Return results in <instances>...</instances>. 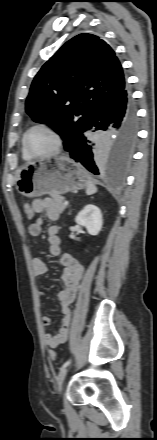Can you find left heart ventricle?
I'll use <instances>...</instances> for the list:
<instances>
[{"instance_id": "1", "label": "left heart ventricle", "mask_w": 157, "mask_h": 440, "mask_svg": "<svg viewBox=\"0 0 157 440\" xmlns=\"http://www.w3.org/2000/svg\"><path fill=\"white\" fill-rule=\"evenodd\" d=\"M28 147L34 154H47L55 146L54 137L44 129L33 130L27 139Z\"/></svg>"}]
</instances>
